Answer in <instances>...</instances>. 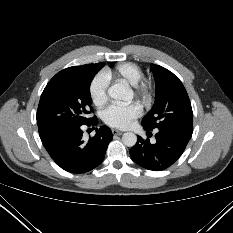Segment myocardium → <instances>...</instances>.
<instances>
[{
    "label": "myocardium",
    "mask_w": 233,
    "mask_h": 233,
    "mask_svg": "<svg viewBox=\"0 0 233 233\" xmlns=\"http://www.w3.org/2000/svg\"><path fill=\"white\" fill-rule=\"evenodd\" d=\"M136 95L140 97L144 102L149 103L153 97V90L151 85L144 80H141L134 86Z\"/></svg>",
    "instance_id": "1"
}]
</instances>
